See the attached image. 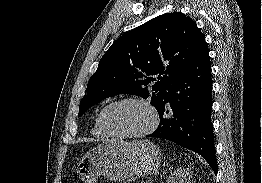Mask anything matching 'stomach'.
Segmentation results:
<instances>
[{
    "label": "stomach",
    "mask_w": 262,
    "mask_h": 183,
    "mask_svg": "<svg viewBox=\"0 0 262 183\" xmlns=\"http://www.w3.org/2000/svg\"><path fill=\"white\" fill-rule=\"evenodd\" d=\"M161 158L160 148L149 140L110 139L88 151L77 163L75 171L83 183H96L101 175L121 181L156 172Z\"/></svg>",
    "instance_id": "obj_1"
}]
</instances>
